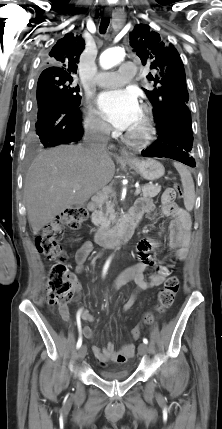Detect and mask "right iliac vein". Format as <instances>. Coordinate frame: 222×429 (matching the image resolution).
<instances>
[{"label": "right iliac vein", "mask_w": 222, "mask_h": 429, "mask_svg": "<svg viewBox=\"0 0 222 429\" xmlns=\"http://www.w3.org/2000/svg\"><path fill=\"white\" fill-rule=\"evenodd\" d=\"M86 353H87V348L85 345H82L79 348L78 353H77L78 359L82 360L86 356Z\"/></svg>", "instance_id": "right-iliac-vein-1"}]
</instances>
